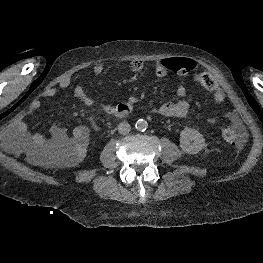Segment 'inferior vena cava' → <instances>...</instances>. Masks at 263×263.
Masks as SVG:
<instances>
[{"label":"inferior vena cava","instance_id":"1","mask_svg":"<svg viewBox=\"0 0 263 263\" xmlns=\"http://www.w3.org/2000/svg\"><path fill=\"white\" fill-rule=\"evenodd\" d=\"M131 130V126L129 123L127 122H121L119 125H118V132L122 135H126L130 132Z\"/></svg>","mask_w":263,"mask_h":263}]
</instances>
